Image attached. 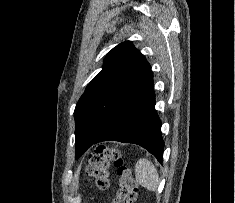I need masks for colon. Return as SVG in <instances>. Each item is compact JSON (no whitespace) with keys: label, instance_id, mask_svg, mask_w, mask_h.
I'll return each instance as SVG.
<instances>
[{"label":"colon","instance_id":"1","mask_svg":"<svg viewBox=\"0 0 235 203\" xmlns=\"http://www.w3.org/2000/svg\"><path fill=\"white\" fill-rule=\"evenodd\" d=\"M111 163H114L118 176L112 203H134L137 197V184L131 170L124 164L117 149L109 146L96 148L89 156L86 174L99 189L106 190L109 186Z\"/></svg>","mask_w":235,"mask_h":203}]
</instances>
